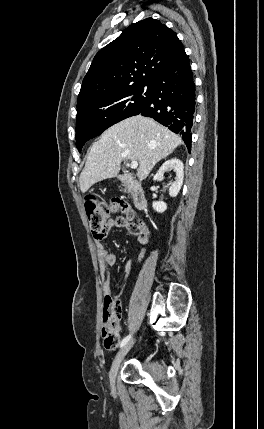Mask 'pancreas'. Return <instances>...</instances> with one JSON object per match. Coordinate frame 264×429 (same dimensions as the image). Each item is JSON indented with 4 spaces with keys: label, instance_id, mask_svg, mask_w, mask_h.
<instances>
[{
    "label": "pancreas",
    "instance_id": "cf45deb5",
    "mask_svg": "<svg viewBox=\"0 0 264 429\" xmlns=\"http://www.w3.org/2000/svg\"><path fill=\"white\" fill-rule=\"evenodd\" d=\"M124 192H130L129 188L122 189Z\"/></svg>",
    "mask_w": 264,
    "mask_h": 429
}]
</instances>
